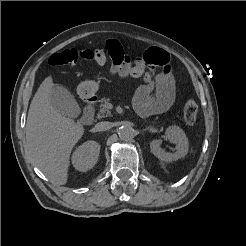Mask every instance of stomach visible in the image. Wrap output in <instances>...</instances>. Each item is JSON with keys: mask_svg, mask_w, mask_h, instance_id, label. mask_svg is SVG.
<instances>
[{"mask_svg": "<svg viewBox=\"0 0 246 246\" xmlns=\"http://www.w3.org/2000/svg\"><path fill=\"white\" fill-rule=\"evenodd\" d=\"M98 88H99V85L97 82L93 80H86L79 84L78 92L80 95L84 97H91L96 93Z\"/></svg>", "mask_w": 246, "mask_h": 246, "instance_id": "1", "label": "stomach"}]
</instances>
